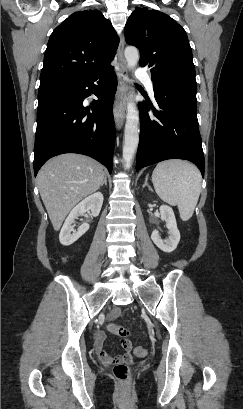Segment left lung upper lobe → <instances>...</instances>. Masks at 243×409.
<instances>
[{
	"instance_id": "obj_1",
	"label": "left lung upper lobe",
	"mask_w": 243,
	"mask_h": 409,
	"mask_svg": "<svg viewBox=\"0 0 243 409\" xmlns=\"http://www.w3.org/2000/svg\"><path fill=\"white\" fill-rule=\"evenodd\" d=\"M125 39L139 49L140 65L151 68L152 81L172 74H195L187 34L168 15L136 8L127 20Z\"/></svg>"
}]
</instances>
